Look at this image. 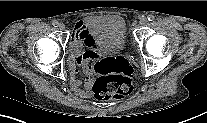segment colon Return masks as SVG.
<instances>
[{
  "mask_svg": "<svg viewBox=\"0 0 207 123\" xmlns=\"http://www.w3.org/2000/svg\"><path fill=\"white\" fill-rule=\"evenodd\" d=\"M93 66L98 77L92 91L97 99H121L130 94L134 70L126 58H96Z\"/></svg>",
  "mask_w": 207,
  "mask_h": 123,
  "instance_id": "colon-1",
  "label": "colon"
}]
</instances>
